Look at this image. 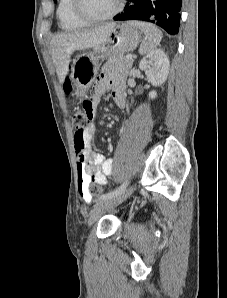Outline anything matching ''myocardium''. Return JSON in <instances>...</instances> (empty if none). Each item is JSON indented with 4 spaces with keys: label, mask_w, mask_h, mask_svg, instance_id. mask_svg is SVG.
<instances>
[{
    "label": "myocardium",
    "mask_w": 227,
    "mask_h": 298,
    "mask_svg": "<svg viewBox=\"0 0 227 298\" xmlns=\"http://www.w3.org/2000/svg\"><path fill=\"white\" fill-rule=\"evenodd\" d=\"M123 8V0H117L115 8L105 16L94 17L87 13L84 0H74V12L78 18L87 23H102L114 18Z\"/></svg>",
    "instance_id": "myocardium-1"
}]
</instances>
